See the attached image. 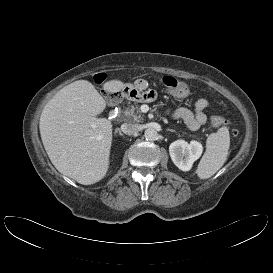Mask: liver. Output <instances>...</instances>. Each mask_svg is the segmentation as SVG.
<instances>
[{
    "instance_id": "liver-1",
    "label": "liver",
    "mask_w": 273,
    "mask_h": 273,
    "mask_svg": "<svg viewBox=\"0 0 273 273\" xmlns=\"http://www.w3.org/2000/svg\"><path fill=\"white\" fill-rule=\"evenodd\" d=\"M120 80L103 85L108 93L125 88ZM106 101L87 80L75 81L45 105L39 128L44 148L54 167L83 185L102 180L109 168L112 123L97 118Z\"/></svg>"
}]
</instances>
